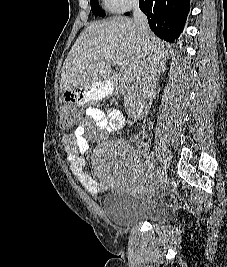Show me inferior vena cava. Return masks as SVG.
<instances>
[{"label": "inferior vena cava", "instance_id": "obj_1", "mask_svg": "<svg viewBox=\"0 0 227 267\" xmlns=\"http://www.w3.org/2000/svg\"><path fill=\"white\" fill-rule=\"evenodd\" d=\"M133 18L141 40L149 50L138 84L141 88L143 96L147 99H150L155 94L156 90L158 62L149 43L151 31L149 29L147 17L139 9L137 2H135L133 5Z\"/></svg>", "mask_w": 227, "mask_h": 267}]
</instances>
